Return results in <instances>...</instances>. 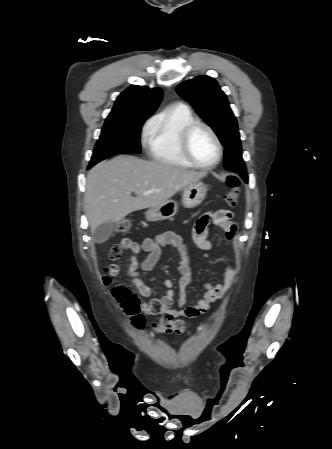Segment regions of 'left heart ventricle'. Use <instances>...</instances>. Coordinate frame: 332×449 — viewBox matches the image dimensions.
I'll use <instances>...</instances> for the list:
<instances>
[{"mask_svg":"<svg viewBox=\"0 0 332 449\" xmlns=\"http://www.w3.org/2000/svg\"><path fill=\"white\" fill-rule=\"evenodd\" d=\"M190 150L201 164L212 163L217 156V147L211 135L204 128L195 129L190 137Z\"/></svg>","mask_w":332,"mask_h":449,"instance_id":"obj_1","label":"left heart ventricle"}]
</instances>
